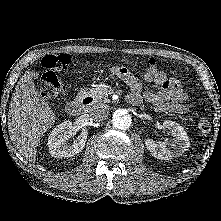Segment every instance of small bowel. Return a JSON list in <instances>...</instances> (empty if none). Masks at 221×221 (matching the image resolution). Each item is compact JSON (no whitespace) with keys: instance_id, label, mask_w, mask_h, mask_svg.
<instances>
[{"instance_id":"1","label":"small bowel","mask_w":221,"mask_h":221,"mask_svg":"<svg viewBox=\"0 0 221 221\" xmlns=\"http://www.w3.org/2000/svg\"><path fill=\"white\" fill-rule=\"evenodd\" d=\"M112 73L123 80L131 89L128 95V101L132 104H140L145 101L151 104L154 110L158 113L167 111L175 113H186L188 107L185 105L187 93L182 87L179 80L175 78H167V76L160 72L163 76V82L151 79L145 75L146 80L152 81L161 86L158 92L144 91L142 92V85L140 80L124 67L112 68Z\"/></svg>"}]
</instances>
